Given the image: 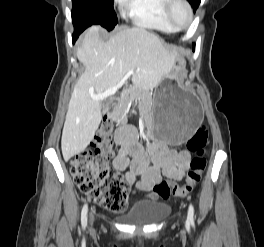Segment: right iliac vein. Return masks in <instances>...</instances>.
<instances>
[{"mask_svg":"<svg viewBox=\"0 0 264 247\" xmlns=\"http://www.w3.org/2000/svg\"><path fill=\"white\" fill-rule=\"evenodd\" d=\"M93 221H94V216H93V214L91 213V214H90V223H91V225L93 224Z\"/></svg>","mask_w":264,"mask_h":247,"instance_id":"right-iliac-vein-1","label":"right iliac vein"}]
</instances>
